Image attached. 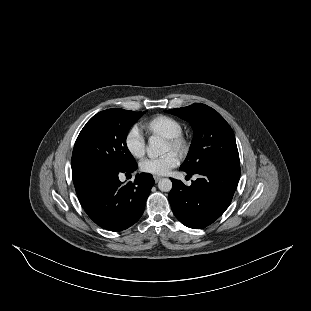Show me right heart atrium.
I'll return each mask as SVG.
<instances>
[{
    "mask_svg": "<svg viewBox=\"0 0 311 311\" xmlns=\"http://www.w3.org/2000/svg\"><path fill=\"white\" fill-rule=\"evenodd\" d=\"M126 151L135 159H141L146 153V141L143 132L137 125H132L123 139Z\"/></svg>",
    "mask_w": 311,
    "mask_h": 311,
    "instance_id": "right-heart-atrium-1",
    "label": "right heart atrium"
}]
</instances>
